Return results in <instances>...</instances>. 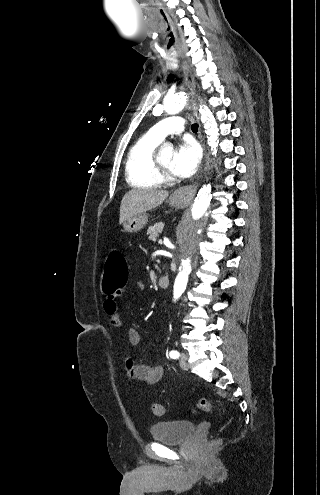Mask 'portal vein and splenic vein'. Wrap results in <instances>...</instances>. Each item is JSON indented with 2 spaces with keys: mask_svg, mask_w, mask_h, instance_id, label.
<instances>
[{
  "mask_svg": "<svg viewBox=\"0 0 320 495\" xmlns=\"http://www.w3.org/2000/svg\"><path fill=\"white\" fill-rule=\"evenodd\" d=\"M159 244H162V240H159Z\"/></svg>",
  "mask_w": 320,
  "mask_h": 495,
  "instance_id": "1",
  "label": "portal vein and splenic vein"
}]
</instances>
